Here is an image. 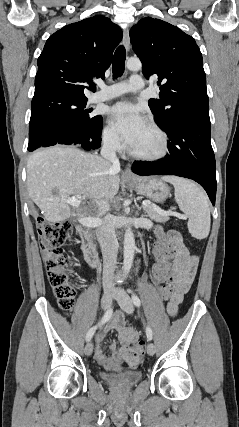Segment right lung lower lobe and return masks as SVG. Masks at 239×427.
I'll return each mask as SVG.
<instances>
[{
	"label": "right lung lower lobe",
	"mask_w": 239,
	"mask_h": 427,
	"mask_svg": "<svg viewBox=\"0 0 239 427\" xmlns=\"http://www.w3.org/2000/svg\"><path fill=\"white\" fill-rule=\"evenodd\" d=\"M102 117L96 123V125L87 133L86 136L81 138H76L70 134L69 131H62L60 133L49 132L45 134L40 143L28 149L29 151H34L41 147L52 146L55 144H67V145H77L86 150H90L91 148L96 149L100 147L101 144V130H102Z\"/></svg>",
	"instance_id": "1"
}]
</instances>
